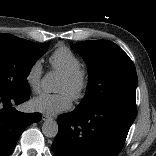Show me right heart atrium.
<instances>
[{
  "instance_id": "1",
  "label": "right heart atrium",
  "mask_w": 156,
  "mask_h": 156,
  "mask_svg": "<svg viewBox=\"0 0 156 156\" xmlns=\"http://www.w3.org/2000/svg\"><path fill=\"white\" fill-rule=\"evenodd\" d=\"M42 73L43 68L40 60L34 61L27 70L25 80L34 93H38L41 89Z\"/></svg>"
}]
</instances>
